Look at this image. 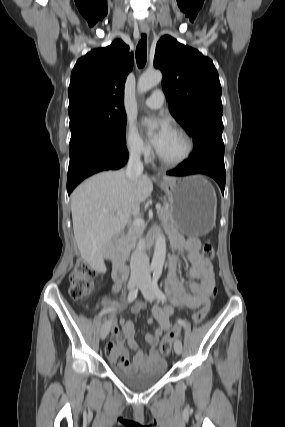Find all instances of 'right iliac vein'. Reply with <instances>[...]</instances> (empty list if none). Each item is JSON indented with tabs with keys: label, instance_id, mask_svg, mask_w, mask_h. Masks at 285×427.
<instances>
[{
	"label": "right iliac vein",
	"instance_id": "1",
	"mask_svg": "<svg viewBox=\"0 0 285 427\" xmlns=\"http://www.w3.org/2000/svg\"><path fill=\"white\" fill-rule=\"evenodd\" d=\"M140 283H141V278H132V279H130V281H129L128 287H129V289L131 290V289H133L135 286L139 285ZM109 331H110V323L107 321V323H104V324L102 325V327H101V330H100V338H101L102 340H104V339L107 337V335H108Z\"/></svg>",
	"mask_w": 285,
	"mask_h": 427
}]
</instances>
